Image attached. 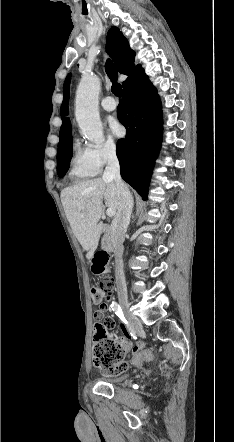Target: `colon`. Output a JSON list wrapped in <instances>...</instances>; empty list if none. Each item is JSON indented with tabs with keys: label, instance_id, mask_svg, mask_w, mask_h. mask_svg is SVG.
Segmentation results:
<instances>
[{
	"label": "colon",
	"instance_id": "colon-1",
	"mask_svg": "<svg viewBox=\"0 0 234 442\" xmlns=\"http://www.w3.org/2000/svg\"><path fill=\"white\" fill-rule=\"evenodd\" d=\"M109 257L105 253H98L94 257L93 270L99 277V286L91 290V297L95 304L104 306L115 290V281L108 272ZM156 350L150 347L135 349L128 354V359L135 366L153 360ZM93 363L105 376H117L128 368L123 359L124 351L120 342L111 336L109 331H94L93 335Z\"/></svg>",
	"mask_w": 234,
	"mask_h": 442
}]
</instances>
